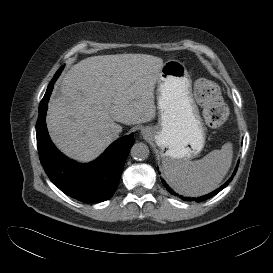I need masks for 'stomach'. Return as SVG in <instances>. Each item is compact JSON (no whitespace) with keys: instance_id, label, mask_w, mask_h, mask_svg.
<instances>
[{"instance_id":"stomach-1","label":"stomach","mask_w":273,"mask_h":273,"mask_svg":"<svg viewBox=\"0 0 273 273\" xmlns=\"http://www.w3.org/2000/svg\"><path fill=\"white\" fill-rule=\"evenodd\" d=\"M158 123L146 127L163 160L189 161L205 146V127L192 94V81L178 60L164 63L157 79Z\"/></svg>"}]
</instances>
